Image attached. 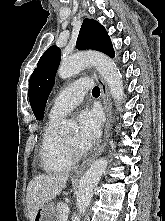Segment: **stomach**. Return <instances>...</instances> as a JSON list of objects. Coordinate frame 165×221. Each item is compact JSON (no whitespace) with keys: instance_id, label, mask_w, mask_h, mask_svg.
<instances>
[{"instance_id":"obj_1","label":"stomach","mask_w":165,"mask_h":221,"mask_svg":"<svg viewBox=\"0 0 165 221\" xmlns=\"http://www.w3.org/2000/svg\"><path fill=\"white\" fill-rule=\"evenodd\" d=\"M34 221H57L54 205L52 204L44 205L36 213Z\"/></svg>"}]
</instances>
